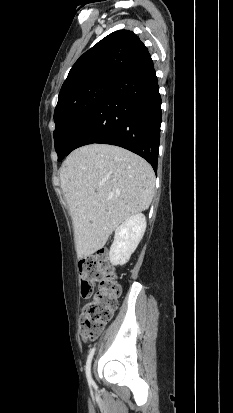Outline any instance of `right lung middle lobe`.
I'll return each instance as SVG.
<instances>
[{"mask_svg":"<svg viewBox=\"0 0 233 413\" xmlns=\"http://www.w3.org/2000/svg\"><path fill=\"white\" fill-rule=\"evenodd\" d=\"M115 80V77L96 78L58 98L53 133L58 161L67 154L77 134Z\"/></svg>","mask_w":233,"mask_h":413,"instance_id":"1","label":"right lung middle lobe"}]
</instances>
